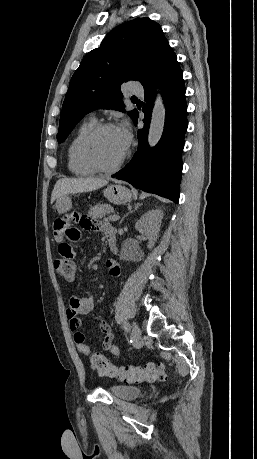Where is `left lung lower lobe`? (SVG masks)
Returning <instances> with one entry per match:
<instances>
[{
	"label": "left lung lower lobe",
	"instance_id": "0a47b994",
	"mask_svg": "<svg viewBox=\"0 0 257 459\" xmlns=\"http://www.w3.org/2000/svg\"><path fill=\"white\" fill-rule=\"evenodd\" d=\"M162 90L166 108L163 135L155 148L147 142L148 129L155 98L153 81ZM145 103L144 127L138 130V149L132 160L114 174L145 192L154 193L178 203L182 172L181 153L187 130V105L182 70L177 57L171 51L152 77L143 85ZM138 112L133 117L137 124Z\"/></svg>",
	"mask_w": 257,
	"mask_h": 459
}]
</instances>
